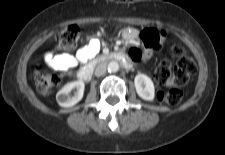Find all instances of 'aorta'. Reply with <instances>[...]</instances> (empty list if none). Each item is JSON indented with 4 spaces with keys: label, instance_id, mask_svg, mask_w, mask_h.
<instances>
[{
    "label": "aorta",
    "instance_id": "aorta-1",
    "mask_svg": "<svg viewBox=\"0 0 225 155\" xmlns=\"http://www.w3.org/2000/svg\"><path fill=\"white\" fill-rule=\"evenodd\" d=\"M108 71L109 72H117L119 70V64L116 61H111L107 65Z\"/></svg>",
    "mask_w": 225,
    "mask_h": 155
}]
</instances>
